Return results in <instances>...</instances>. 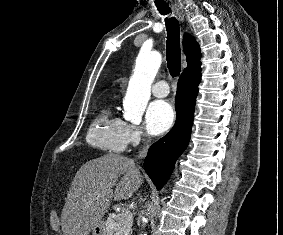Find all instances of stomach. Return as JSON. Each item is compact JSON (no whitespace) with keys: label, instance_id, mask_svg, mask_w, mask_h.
Instances as JSON below:
<instances>
[{"label":"stomach","instance_id":"stomach-1","mask_svg":"<svg viewBox=\"0 0 283 235\" xmlns=\"http://www.w3.org/2000/svg\"><path fill=\"white\" fill-rule=\"evenodd\" d=\"M92 235H109V230L104 221L98 222L91 230Z\"/></svg>","mask_w":283,"mask_h":235}]
</instances>
